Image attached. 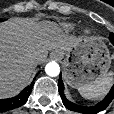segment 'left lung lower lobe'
<instances>
[{"mask_svg":"<svg viewBox=\"0 0 114 114\" xmlns=\"http://www.w3.org/2000/svg\"><path fill=\"white\" fill-rule=\"evenodd\" d=\"M109 39H110L111 43L114 45V36L109 37ZM58 86L60 88L59 93H60L62 102L65 105V107L69 110L84 113V114H95L99 111L106 109V107L110 104V102L114 98V85H113V87L111 88V90L107 94V96L101 102L96 104L95 106H91V107L79 106L66 99L65 94L63 93L64 85H63V82L61 79V75L59 77Z\"/></svg>","mask_w":114,"mask_h":114,"instance_id":"left-lung-lower-lobe-1","label":"left lung lower lobe"}]
</instances>
